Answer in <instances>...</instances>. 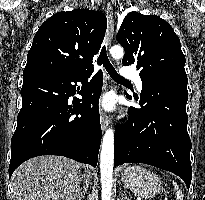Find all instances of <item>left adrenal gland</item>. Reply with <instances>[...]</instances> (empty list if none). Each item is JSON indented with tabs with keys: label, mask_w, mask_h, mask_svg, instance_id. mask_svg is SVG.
<instances>
[{
	"label": "left adrenal gland",
	"mask_w": 205,
	"mask_h": 200,
	"mask_svg": "<svg viewBox=\"0 0 205 200\" xmlns=\"http://www.w3.org/2000/svg\"><path fill=\"white\" fill-rule=\"evenodd\" d=\"M122 200H131V199H129V197L127 196L126 191H124L123 199H122Z\"/></svg>",
	"instance_id": "left-adrenal-gland-1"
}]
</instances>
